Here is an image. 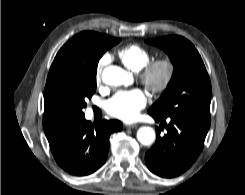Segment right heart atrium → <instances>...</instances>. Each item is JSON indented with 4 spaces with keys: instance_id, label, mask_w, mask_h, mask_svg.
Listing matches in <instances>:
<instances>
[{
    "instance_id": "right-heart-atrium-1",
    "label": "right heart atrium",
    "mask_w": 245,
    "mask_h": 195,
    "mask_svg": "<svg viewBox=\"0 0 245 195\" xmlns=\"http://www.w3.org/2000/svg\"><path fill=\"white\" fill-rule=\"evenodd\" d=\"M109 62V57L107 55H103L97 65H96V69H95V81L97 83V85H99L101 83V76H102V71L104 69V67L108 64Z\"/></svg>"
}]
</instances>
